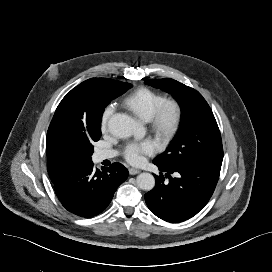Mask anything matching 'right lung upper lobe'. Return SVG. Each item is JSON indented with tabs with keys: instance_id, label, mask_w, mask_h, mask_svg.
Wrapping results in <instances>:
<instances>
[{
	"instance_id": "right-lung-upper-lobe-1",
	"label": "right lung upper lobe",
	"mask_w": 272,
	"mask_h": 272,
	"mask_svg": "<svg viewBox=\"0 0 272 272\" xmlns=\"http://www.w3.org/2000/svg\"><path fill=\"white\" fill-rule=\"evenodd\" d=\"M115 81L88 79L73 88L58 105L46 140L47 169L53 184L71 176L85 162L76 139L100 124L104 98Z\"/></svg>"
}]
</instances>
